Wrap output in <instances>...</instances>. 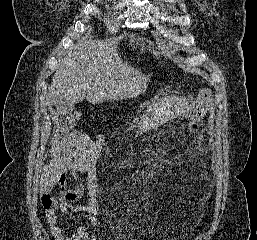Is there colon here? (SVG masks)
Instances as JSON below:
<instances>
[{
    "mask_svg": "<svg viewBox=\"0 0 257 240\" xmlns=\"http://www.w3.org/2000/svg\"><path fill=\"white\" fill-rule=\"evenodd\" d=\"M212 99V94L209 89H204L200 92L195 108L191 112L187 123L184 126V132L187 137H196L201 130L202 120L207 112ZM44 207H49L52 204V199L49 195L42 197Z\"/></svg>",
    "mask_w": 257,
    "mask_h": 240,
    "instance_id": "colon-1",
    "label": "colon"
}]
</instances>
